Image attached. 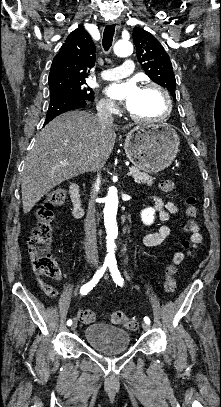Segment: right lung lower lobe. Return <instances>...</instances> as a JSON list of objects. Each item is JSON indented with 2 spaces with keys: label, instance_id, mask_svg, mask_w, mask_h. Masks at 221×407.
<instances>
[{
  "label": "right lung lower lobe",
  "instance_id": "right-lung-lower-lobe-1",
  "mask_svg": "<svg viewBox=\"0 0 221 407\" xmlns=\"http://www.w3.org/2000/svg\"><path fill=\"white\" fill-rule=\"evenodd\" d=\"M91 100L75 97H65L50 102L46 120L44 124L54 119L56 116L78 108H84Z\"/></svg>",
  "mask_w": 221,
  "mask_h": 407
}]
</instances>
